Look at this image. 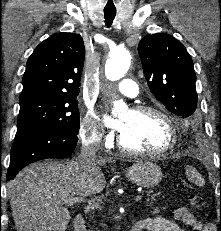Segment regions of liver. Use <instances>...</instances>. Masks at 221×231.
Listing matches in <instances>:
<instances>
[{
  "label": "liver",
  "mask_w": 221,
  "mask_h": 231,
  "mask_svg": "<svg viewBox=\"0 0 221 231\" xmlns=\"http://www.w3.org/2000/svg\"><path fill=\"white\" fill-rule=\"evenodd\" d=\"M113 157L82 164L77 159L31 164L9 183L8 194L18 231H65L70 212L64 200L100 193L106 180L100 166Z\"/></svg>",
  "instance_id": "6515ba94"
}]
</instances>
